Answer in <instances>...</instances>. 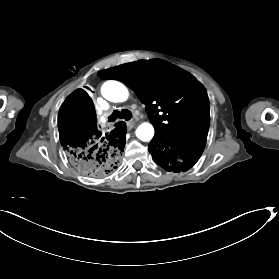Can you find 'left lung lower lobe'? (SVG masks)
Segmentation results:
<instances>
[{
	"label": "left lung lower lobe",
	"mask_w": 279,
	"mask_h": 279,
	"mask_svg": "<svg viewBox=\"0 0 279 279\" xmlns=\"http://www.w3.org/2000/svg\"><path fill=\"white\" fill-rule=\"evenodd\" d=\"M205 147L202 142H175L154 136L148 149L155 163L166 171L181 172L191 168Z\"/></svg>",
	"instance_id": "0a47b994"
}]
</instances>
